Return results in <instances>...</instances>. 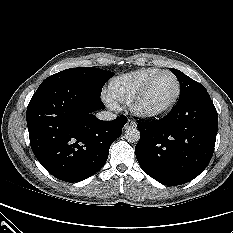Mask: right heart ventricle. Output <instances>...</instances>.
<instances>
[{"label": "right heart ventricle", "instance_id": "right-heart-ventricle-1", "mask_svg": "<svg viewBox=\"0 0 233 233\" xmlns=\"http://www.w3.org/2000/svg\"><path fill=\"white\" fill-rule=\"evenodd\" d=\"M159 71L161 69L148 67L117 76L109 82L108 93L116 102L129 103L143 84Z\"/></svg>", "mask_w": 233, "mask_h": 233}]
</instances>
